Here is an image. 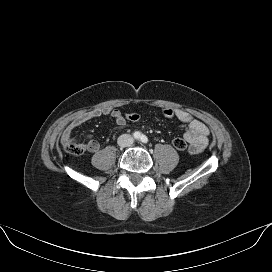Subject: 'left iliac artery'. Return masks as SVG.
Here are the masks:
<instances>
[{"label": "left iliac artery", "instance_id": "obj_1", "mask_svg": "<svg viewBox=\"0 0 272 272\" xmlns=\"http://www.w3.org/2000/svg\"><path fill=\"white\" fill-rule=\"evenodd\" d=\"M140 140L143 143H147L148 142V138L145 135H141Z\"/></svg>", "mask_w": 272, "mask_h": 272}]
</instances>
